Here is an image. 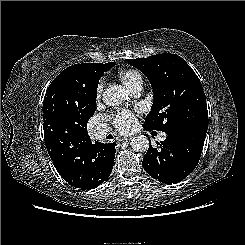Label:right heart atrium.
<instances>
[{
    "label": "right heart atrium",
    "mask_w": 245,
    "mask_h": 245,
    "mask_svg": "<svg viewBox=\"0 0 245 245\" xmlns=\"http://www.w3.org/2000/svg\"><path fill=\"white\" fill-rule=\"evenodd\" d=\"M104 86H105V81H104V79H101L98 83V86H97V92L101 93Z\"/></svg>",
    "instance_id": "obj_1"
}]
</instances>
